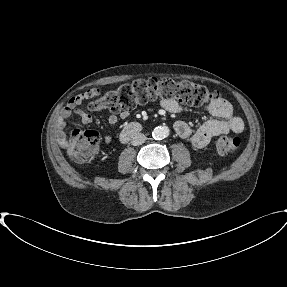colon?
<instances>
[{
	"label": "colon",
	"mask_w": 287,
	"mask_h": 287,
	"mask_svg": "<svg viewBox=\"0 0 287 287\" xmlns=\"http://www.w3.org/2000/svg\"><path fill=\"white\" fill-rule=\"evenodd\" d=\"M158 98L175 100L199 107L210 105L219 98L215 90L188 81H175L167 78L136 80L109 90L90 103L93 111H129L137 105L146 104ZM100 136L94 130L75 129L65 142L69 158L76 163L89 162L97 152ZM242 140L239 137H222L217 140L216 150L223 155H233L239 151Z\"/></svg>",
	"instance_id": "5ec220e1"
}]
</instances>
